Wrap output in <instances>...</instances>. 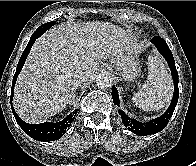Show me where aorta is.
I'll return each mask as SVG.
<instances>
[{
	"label": "aorta",
	"instance_id": "1",
	"mask_svg": "<svg viewBox=\"0 0 196 166\" xmlns=\"http://www.w3.org/2000/svg\"><path fill=\"white\" fill-rule=\"evenodd\" d=\"M96 84L100 89L111 88L113 85V76L109 72L100 73L96 78Z\"/></svg>",
	"mask_w": 196,
	"mask_h": 166
}]
</instances>
